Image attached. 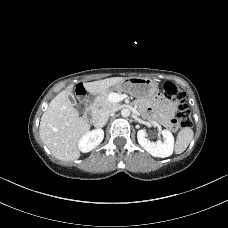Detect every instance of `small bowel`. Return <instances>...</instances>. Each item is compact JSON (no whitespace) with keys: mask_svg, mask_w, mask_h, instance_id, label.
<instances>
[{"mask_svg":"<svg viewBox=\"0 0 228 228\" xmlns=\"http://www.w3.org/2000/svg\"><path fill=\"white\" fill-rule=\"evenodd\" d=\"M152 111L157 113V118L161 121L162 124H168V117L167 115L172 114L176 106L174 103L164 99L161 95H155L149 101L148 106Z\"/></svg>","mask_w":228,"mask_h":228,"instance_id":"c3829d8e","label":"small bowel"}]
</instances>
